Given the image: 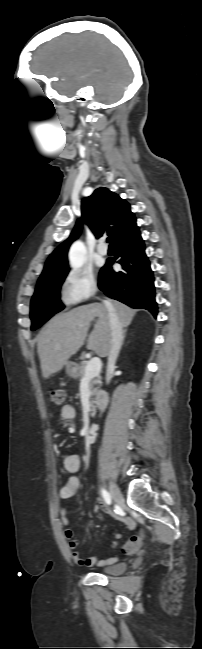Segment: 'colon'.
Returning <instances> with one entry per match:
<instances>
[{
	"mask_svg": "<svg viewBox=\"0 0 202 649\" xmlns=\"http://www.w3.org/2000/svg\"><path fill=\"white\" fill-rule=\"evenodd\" d=\"M51 401L56 405H62L65 400V392L62 389H53L50 391ZM144 535L142 533L133 535L126 543L127 552H134L142 543Z\"/></svg>",
	"mask_w": 202,
	"mask_h": 649,
	"instance_id": "colon-1",
	"label": "colon"
}]
</instances>
